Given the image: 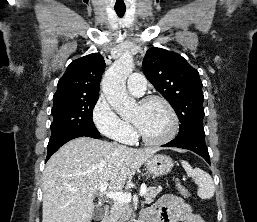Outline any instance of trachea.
<instances>
[{"mask_svg":"<svg viewBox=\"0 0 257 222\" xmlns=\"http://www.w3.org/2000/svg\"><path fill=\"white\" fill-rule=\"evenodd\" d=\"M115 11H116L118 17H120V18H122L125 14V10H115Z\"/></svg>","mask_w":257,"mask_h":222,"instance_id":"3493384b","label":"trachea"}]
</instances>
